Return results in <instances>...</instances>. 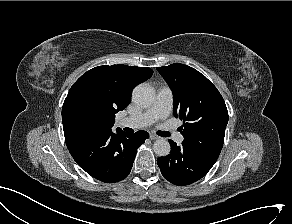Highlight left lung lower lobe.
I'll return each instance as SVG.
<instances>
[{"instance_id": "1", "label": "left lung lower lobe", "mask_w": 292, "mask_h": 224, "mask_svg": "<svg viewBox=\"0 0 292 224\" xmlns=\"http://www.w3.org/2000/svg\"><path fill=\"white\" fill-rule=\"evenodd\" d=\"M169 143L170 154L159 157L157 164L162 175L175 185H187L201 179L216 162L184 144L177 146L172 140Z\"/></svg>"}]
</instances>
